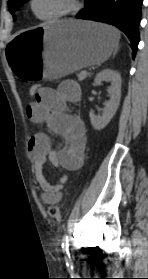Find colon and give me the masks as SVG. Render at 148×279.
I'll list each match as a JSON object with an SVG mask.
<instances>
[{"label":"colon","instance_id":"obj_1","mask_svg":"<svg viewBox=\"0 0 148 279\" xmlns=\"http://www.w3.org/2000/svg\"><path fill=\"white\" fill-rule=\"evenodd\" d=\"M41 89H42L41 85L34 84L29 88V95L36 98L39 96ZM47 213L53 219H56V220L62 219V212L58 205H55V204L49 205L47 208Z\"/></svg>","mask_w":148,"mask_h":279}]
</instances>
